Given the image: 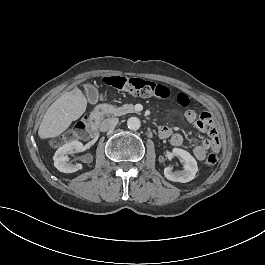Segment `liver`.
I'll return each instance as SVG.
<instances>
[{"mask_svg":"<svg viewBox=\"0 0 265 265\" xmlns=\"http://www.w3.org/2000/svg\"><path fill=\"white\" fill-rule=\"evenodd\" d=\"M86 106L87 99L80 89L74 88L64 93L46 111L39 126V137L53 138L62 134L73 121L81 117Z\"/></svg>","mask_w":265,"mask_h":265,"instance_id":"1","label":"liver"}]
</instances>
